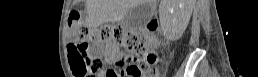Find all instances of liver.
I'll return each instance as SVG.
<instances>
[{
  "instance_id": "1",
  "label": "liver",
  "mask_w": 258,
  "mask_h": 77,
  "mask_svg": "<svg viewBox=\"0 0 258 77\" xmlns=\"http://www.w3.org/2000/svg\"><path fill=\"white\" fill-rule=\"evenodd\" d=\"M157 0H87V17L86 23L92 27H98L103 23L119 22L127 13L140 4H156ZM185 9L181 13V21L186 25L189 21L191 11L195 4V0H183ZM168 3L174 8L178 7L180 0H162L161 6Z\"/></svg>"
}]
</instances>
